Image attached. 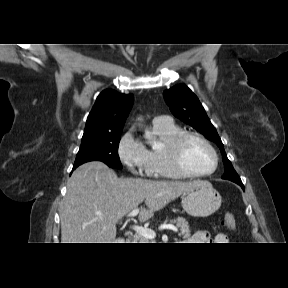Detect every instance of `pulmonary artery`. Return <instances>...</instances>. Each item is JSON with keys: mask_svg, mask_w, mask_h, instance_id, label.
I'll list each match as a JSON object with an SVG mask.
<instances>
[{"mask_svg": "<svg viewBox=\"0 0 288 288\" xmlns=\"http://www.w3.org/2000/svg\"><path fill=\"white\" fill-rule=\"evenodd\" d=\"M154 122L169 123L171 122V119L167 115H160L154 119Z\"/></svg>", "mask_w": 288, "mask_h": 288, "instance_id": "1", "label": "pulmonary artery"}]
</instances>
